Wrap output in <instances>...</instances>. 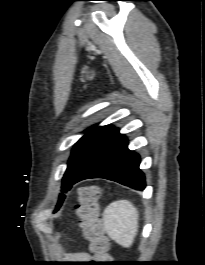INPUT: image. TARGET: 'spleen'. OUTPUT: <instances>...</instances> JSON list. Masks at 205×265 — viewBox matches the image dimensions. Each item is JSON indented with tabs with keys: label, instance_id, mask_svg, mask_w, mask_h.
I'll return each mask as SVG.
<instances>
[{
	"label": "spleen",
	"instance_id": "spleen-1",
	"mask_svg": "<svg viewBox=\"0 0 205 265\" xmlns=\"http://www.w3.org/2000/svg\"><path fill=\"white\" fill-rule=\"evenodd\" d=\"M139 213L128 200L109 204L103 213L104 228L108 236L119 245L129 248L138 232Z\"/></svg>",
	"mask_w": 205,
	"mask_h": 265
}]
</instances>
